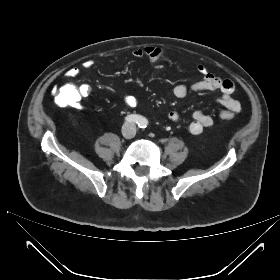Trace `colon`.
<instances>
[{
    "mask_svg": "<svg viewBox=\"0 0 280 280\" xmlns=\"http://www.w3.org/2000/svg\"><path fill=\"white\" fill-rule=\"evenodd\" d=\"M54 100L58 106H73L80 101L78 89L72 82H66L54 91ZM222 119H231L228 113L221 114Z\"/></svg>",
    "mask_w": 280,
    "mask_h": 280,
    "instance_id": "colon-1",
    "label": "colon"
}]
</instances>
